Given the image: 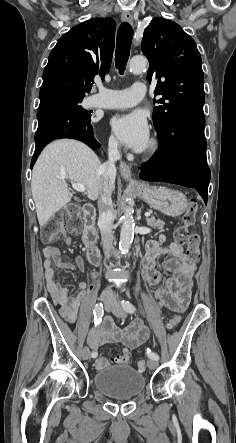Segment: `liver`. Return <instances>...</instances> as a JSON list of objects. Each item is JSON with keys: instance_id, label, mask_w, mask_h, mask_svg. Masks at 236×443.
<instances>
[{"instance_id": "6515ba94", "label": "liver", "mask_w": 236, "mask_h": 443, "mask_svg": "<svg viewBox=\"0 0 236 443\" xmlns=\"http://www.w3.org/2000/svg\"><path fill=\"white\" fill-rule=\"evenodd\" d=\"M101 162L85 144L61 139L47 145L37 159L31 180L32 196L41 227L52 215L68 204L72 193L65 179L85 186L90 200L102 193V178L98 174ZM115 190V185L112 191Z\"/></svg>"}]
</instances>
